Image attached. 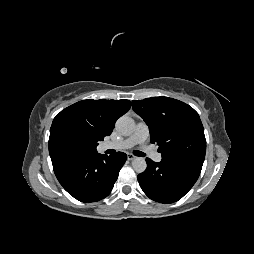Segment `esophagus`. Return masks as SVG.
Instances as JSON below:
<instances>
[{"instance_id": "obj_1", "label": "esophagus", "mask_w": 254, "mask_h": 254, "mask_svg": "<svg viewBox=\"0 0 254 254\" xmlns=\"http://www.w3.org/2000/svg\"><path fill=\"white\" fill-rule=\"evenodd\" d=\"M127 158H128V160L131 161V160H134L136 158V156L133 154H127Z\"/></svg>"}]
</instances>
